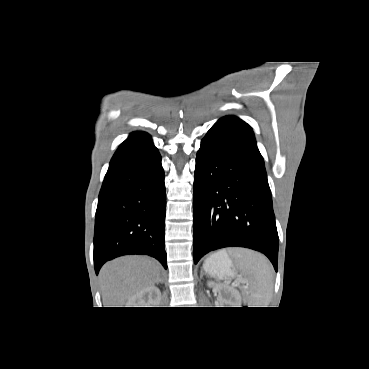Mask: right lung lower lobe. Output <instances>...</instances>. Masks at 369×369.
I'll list each match as a JSON object with an SVG mask.
<instances>
[{"label": "right lung lower lobe", "instance_id": "98d812e1", "mask_svg": "<svg viewBox=\"0 0 369 369\" xmlns=\"http://www.w3.org/2000/svg\"><path fill=\"white\" fill-rule=\"evenodd\" d=\"M166 194L161 156L150 135L133 132L112 157L95 218L96 274L108 260L145 254L167 268Z\"/></svg>", "mask_w": 369, "mask_h": 369}]
</instances>
